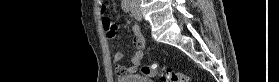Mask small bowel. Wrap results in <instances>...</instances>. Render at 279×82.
Segmentation results:
<instances>
[{"label":"small bowel","instance_id":"obj_1","mask_svg":"<svg viewBox=\"0 0 279 82\" xmlns=\"http://www.w3.org/2000/svg\"><path fill=\"white\" fill-rule=\"evenodd\" d=\"M99 6L101 8H104L105 1L99 0ZM103 27L106 31V36L108 39H113L116 35V31L118 29V25L114 22H111L110 24H104ZM132 34H133V44L136 47V50L134 54L131 57V63L129 66L125 65H117L115 68V73L119 76L131 74L133 73L141 64V61L144 57V48L146 45L145 39L141 33V29L138 25H134L131 28ZM115 62H120L123 59V54L121 52H115L113 55Z\"/></svg>","mask_w":279,"mask_h":82}]
</instances>
